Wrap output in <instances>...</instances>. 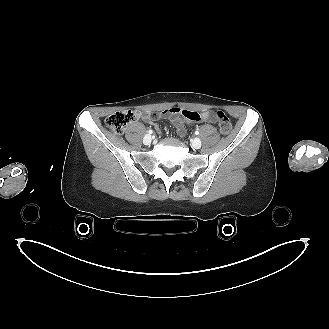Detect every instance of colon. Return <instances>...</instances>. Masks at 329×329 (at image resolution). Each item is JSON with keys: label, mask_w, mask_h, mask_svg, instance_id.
<instances>
[{"label": "colon", "mask_w": 329, "mask_h": 329, "mask_svg": "<svg viewBox=\"0 0 329 329\" xmlns=\"http://www.w3.org/2000/svg\"><path fill=\"white\" fill-rule=\"evenodd\" d=\"M137 118V113L131 110L117 111L105 118L104 126L113 134H121L126 127ZM220 132L227 135L231 131V122L222 111L216 112Z\"/></svg>", "instance_id": "colon-1"}]
</instances>
